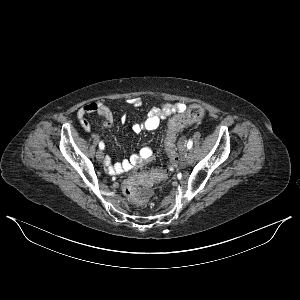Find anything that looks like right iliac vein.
I'll return each mask as SVG.
<instances>
[{"instance_id": "1", "label": "right iliac vein", "mask_w": 300, "mask_h": 300, "mask_svg": "<svg viewBox=\"0 0 300 300\" xmlns=\"http://www.w3.org/2000/svg\"><path fill=\"white\" fill-rule=\"evenodd\" d=\"M96 158L98 161H102L104 159V152L102 150H98L96 152Z\"/></svg>"}]
</instances>
